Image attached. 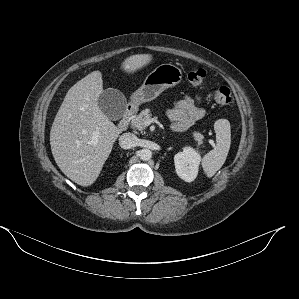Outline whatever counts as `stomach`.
Here are the masks:
<instances>
[{"mask_svg": "<svg viewBox=\"0 0 299 299\" xmlns=\"http://www.w3.org/2000/svg\"><path fill=\"white\" fill-rule=\"evenodd\" d=\"M182 77V71L176 65L164 63L157 66L147 75L142 86L133 93L132 104L137 107L142 103L154 100L165 89L181 83Z\"/></svg>", "mask_w": 299, "mask_h": 299, "instance_id": "stomach-1", "label": "stomach"}]
</instances>
